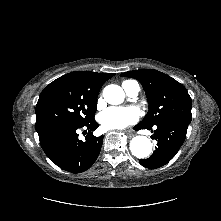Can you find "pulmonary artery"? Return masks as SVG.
<instances>
[{
  "instance_id": "1",
  "label": "pulmonary artery",
  "mask_w": 221,
  "mask_h": 221,
  "mask_svg": "<svg viewBox=\"0 0 221 221\" xmlns=\"http://www.w3.org/2000/svg\"><path fill=\"white\" fill-rule=\"evenodd\" d=\"M122 86L127 95L130 97H136L140 90L139 84L135 81L123 83Z\"/></svg>"
}]
</instances>
